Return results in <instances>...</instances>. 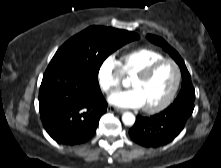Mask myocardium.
<instances>
[{
	"mask_svg": "<svg viewBox=\"0 0 221 168\" xmlns=\"http://www.w3.org/2000/svg\"><path fill=\"white\" fill-rule=\"evenodd\" d=\"M164 63H171L176 71V79H175V83L174 86L171 90V92L169 93L168 97L160 104L156 105V106H152V107H143L144 111L147 113H158L160 111H163L164 109H166L167 107H169L172 102L174 101L180 85H181V81H182V71L181 68L179 66V64L172 58H163L160 59L158 61H155L153 63H151L150 65H148L146 68H144L142 71H140L138 74H136L132 80H146L147 78H149L151 76V74L162 64Z\"/></svg>",
	"mask_w": 221,
	"mask_h": 168,
	"instance_id": "obj_1",
	"label": "myocardium"
}]
</instances>
